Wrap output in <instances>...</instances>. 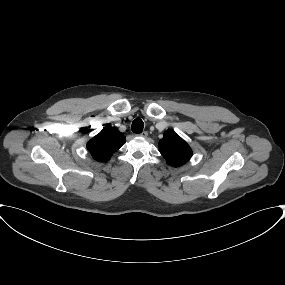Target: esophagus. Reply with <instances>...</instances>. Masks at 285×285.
Masks as SVG:
<instances>
[{
	"label": "esophagus",
	"instance_id": "34e87169",
	"mask_svg": "<svg viewBox=\"0 0 285 285\" xmlns=\"http://www.w3.org/2000/svg\"><path fill=\"white\" fill-rule=\"evenodd\" d=\"M141 137H147L148 133L146 131H143L142 133L139 134Z\"/></svg>",
	"mask_w": 285,
	"mask_h": 285
}]
</instances>
